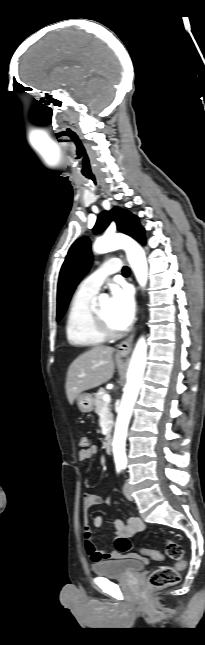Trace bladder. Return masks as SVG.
Segmentation results:
<instances>
[{"mask_svg": "<svg viewBox=\"0 0 205 645\" xmlns=\"http://www.w3.org/2000/svg\"><path fill=\"white\" fill-rule=\"evenodd\" d=\"M145 567L143 561L133 558H122L96 562L92 565L95 574L112 578H128L142 571Z\"/></svg>", "mask_w": 205, "mask_h": 645, "instance_id": "obj_1", "label": "bladder"}]
</instances>
